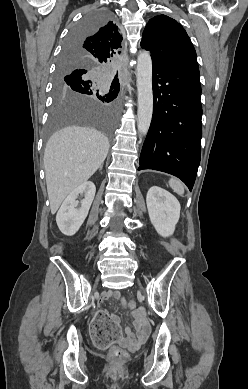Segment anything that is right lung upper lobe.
<instances>
[{
    "mask_svg": "<svg viewBox=\"0 0 248 389\" xmlns=\"http://www.w3.org/2000/svg\"><path fill=\"white\" fill-rule=\"evenodd\" d=\"M122 45L123 37L118 26L109 21L80 42L72 43L63 49L61 58H64L65 65H68L70 60L76 57L80 63L106 67L121 53ZM113 83H119L117 77L114 78Z\"/></svg>",
    "mask_w": 248,
    "mask_h": 389,
    "instance_id": "right-lung-upper-lobe-1",
    "label": "right lung upper lobe"
}]
</instances>
